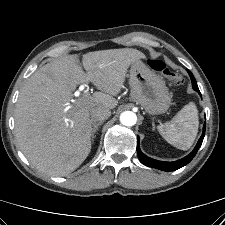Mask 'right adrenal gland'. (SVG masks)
Instances as JSON below:
<instances>
[{"mask_svg":"<svg viewBox=\"0 0 225 225\" xmlns=\"http://www.w3.org/2000/svg\"><path fill=\"white\" fill-rule=\"evenodd\" d=\"M101 125H102V122L93 123V128H92V132H91L92 140H94V138H95V133H96V131L99 129V127H100Z\"/></svg>","mask_w":225,"mask_h":225,"instance_id":"right-adrenal-gland-1","label":"right adrenal gland"}]
</instances>
